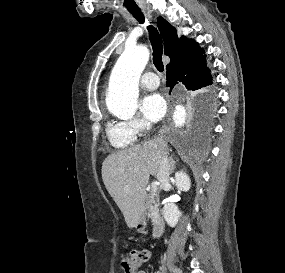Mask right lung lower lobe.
Listing matches in <instances>:
<instances>
[{"instance_id": "1", "label": "right lung lower lobe", "mask_w": 285, "mask_h": 273, "mask_svg": "<svg viewBox=\"0 0 285 273\" xmlns=\"http://www.w3.org/2000/svg\"><path fill=\"white\" fill-rule=\"evenodd\" d=\"M203 54L167 68V86L172 89L176 83L182 82L189 90H199L211 84L210 69L206 66V55Z\"/></svg>"}]
</instances>
